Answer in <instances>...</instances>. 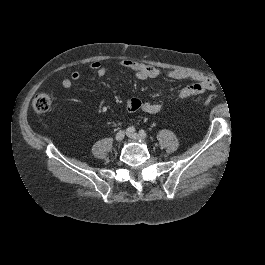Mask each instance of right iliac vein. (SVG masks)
I'll return each mask as SVG.
<instances>
[{
  "label": "right iliac vein",
  "mask_w": 265,
  "mask_h": 265,
  "mask_svg": "<svg viewBox=\"0 0 265 265\" xmlns=\"http://www.w3.org/2000/svg\"><path fill=\"white\" fill-rule=\"evenodd\" d=\"M124 137H125V131L120 130V131L117 132V134L115 136V140L117 142H121L124 139Z\"/></svg>",
  "instance_id": "right-iliac-vein-1"
}]
</instances>
